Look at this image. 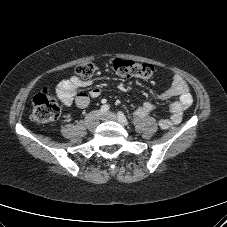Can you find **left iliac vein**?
I'll return each mask as SVG.
<instances>
[{
    "label": "left iliac vein",
    "mask_w": 227,
    "mask_h": 227,
    "mask_svg": "<svg viewBox=\"0 0 227 227\" xmlns=\"http://www.w3.org/2000/svg\"><path fill=\"white\" fill-rule=\"evenodd\" d=\"M102 120H112V121H116L122 125H125L116 114L112 113V112H107L104 113L101 117Z\"/></svg>",
    "instance_id": "left-iliac-vein-1"
}]
</instances>
